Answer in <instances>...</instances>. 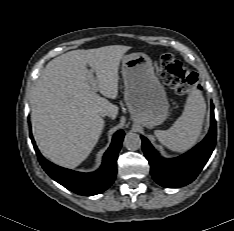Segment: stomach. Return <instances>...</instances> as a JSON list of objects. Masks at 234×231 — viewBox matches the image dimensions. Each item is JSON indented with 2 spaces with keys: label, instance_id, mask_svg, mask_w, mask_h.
Listing matches in <instances>:
<instances>
[{
  "label": "stomach",
  "instance_id": "stomach-1",
  "mask_svg": "<svg viewBox=\"0 0 234 231\" xmlns=\"http://www.w3.org/2000/svg\"><path fill=\"white\" fill-rule=\"evenodd\" d=\"M124 99L135 124L147 128L162 124L169 113L165 89L155 75L151 58L132 53L122 58Z\"/></svg>",
  "mask_w": 234,
  "mask_h": 231
}]
</instances>
